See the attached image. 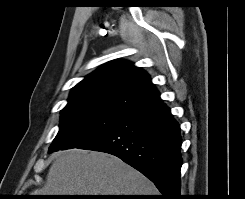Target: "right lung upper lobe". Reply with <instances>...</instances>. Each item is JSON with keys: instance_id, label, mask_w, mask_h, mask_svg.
<instances>
[{"instance_id": "cb5924a9", "label": "right lung upper lobe", "mask_w": 245, "mask_h": 199, "mask_svg": "<svg viewBox=\"0 0 245 199\" xmlns=\"http://www.w3.org/2000/svg\"><path fill=\"white\" fill-rule=\"evenodd\" d=\"M149 75L127 61H112L73 87L67 105L96 106L124 114L161 102Z\"/></svg>"}]
</instances>
